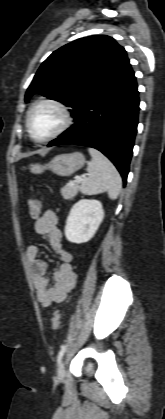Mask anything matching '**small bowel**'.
<instances>
[{
  "label": "small bowel",
  "mask_w": 165,
  "mask_h": 419,
  "mask_svg": "<svg viewBox=\"0 0 165 419\" xmlns=\"http://www.w3.org/2000/svg\"><path fill=\"white\" fill-rule=\"evenodd\" d=\"M35 230L48 239L59 257V264L52 277H49L48 265L41 259L39 247L32 244L26 251L37 300L46 307L64 301L67 293L74 287L77 276L72 268L73 255L62 244V232L58 227L55 211L48 209L41 214L35 221Z\"/></svg>",
  "instance_id": "small-bowel-1"
}]
</instances>
